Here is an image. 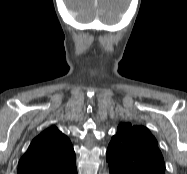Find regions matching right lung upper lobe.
<instances>
[{"label":"right lung upper lobe","instance_id":"1","mask_svg":"<svg viewBox=\"0 0 187 174\" xmlns=\"http://www.w3.org/2000/svg\"><path fill=\"white\" fill-rule=\"evenodd\" d=\"M17 174H77L70 140L56 127L46 129L20 159Z\"/></svg>","mask_w":187,"mask_h":174}]
</instances>
